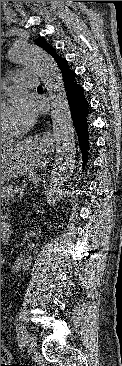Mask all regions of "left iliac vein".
Returning a JSON list of instances; mask_svg holds the SVG:
<instances>
[{
	"label": "left iliac vein",
	"mask_w": 122,
	"mask_h": 366,
	"mask_svg": "<svg viewBox=\"0 0 122 366\" xmlns=\"http://www.w3.org/2000/svg\"><path fill=\"white\" fill-rule=\"evenodd\" d=\"M25 341H26L25 343H26V348H27L28 352H36V343H35L33 337L27 334V338ZM21 345L23 346L22 340L20 342V346Z\"/></svg>",
	"instance_id": "left-iliac-vein-1"
}]
</instances>
